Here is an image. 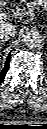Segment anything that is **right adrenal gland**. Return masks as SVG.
I'll return each instance as SVG.
<instances>
[{
    "label": "right adrenal gland",
    "instance_id": "right-adrenal-gland-1",
    "mask_svg": "<svg viewBox=\"0 0 47 129\" xmlns=\"http://www.w3.org/2000/svg\"><path fill=\"white\" fill-rule=\"evenodd\" d=\"M7 39H1L0 44L4 43Z\"/></svg>",
    "mask_w": 47,
    "mask_h": 129
}]
</instances>
